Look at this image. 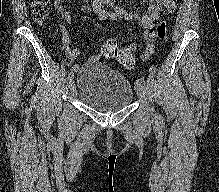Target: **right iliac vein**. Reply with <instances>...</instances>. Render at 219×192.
Segmentation results:
<instances>
[{
	"instance_id": "63e3f726",
	"label": "right iliac vein",
	"mask_w": 219,
	"mask_h": 192,
	"mask_svg": "<svg viewBox=\"0 0 219 192\" xmlns=\"http://www.w3.org/2000/svg\"><path fill=\"white\" fill-rule=\"evenodd\" d=\"M68 82H69V86H70L71 90H73V86H74L73 76H70V77H69Z\"/></svg>"
}]
</instances>
